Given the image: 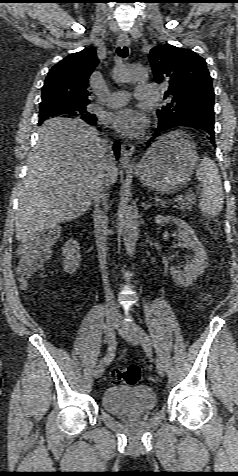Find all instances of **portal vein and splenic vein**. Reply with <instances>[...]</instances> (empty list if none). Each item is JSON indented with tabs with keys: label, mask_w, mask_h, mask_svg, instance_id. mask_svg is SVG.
Listing matches in <instances>:
<instances>
[{
	"label": "portal vein and splenic vein",
	"mask_w": 238,
	"mask_h": 476,
	"mask_svg": "<svg viewBox=\"0 0 238 476\" xmlns=\"http://www.w3.org/2000/svg\"><path fill=\"white\" fill-rule=\"evenodd\" d=\"M184 199V196L183 195H176L174 198H173V201L174 202H179L181 200Z\"/></svg>",
	"instance_id": "18ae733b"
}]
</instances>
